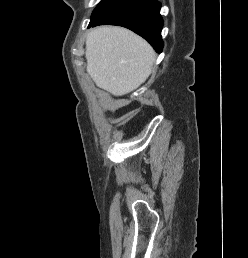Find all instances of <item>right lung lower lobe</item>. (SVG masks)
Masks as SVG:
<instances>
[{"instance_id":"1","label":"right lung lower lobe","mask_w":248,"mask_h":258,"mask_svg":"<svg viewBox=\"0 0 248 258\" xmlns=\"http://www.w3.org/2000/svg\"><path fill=\"white\" fill-rule=\"evenodd\" d=\"M161 4L156 0H119L88 27L97 25H119L126 27L146 39L157 53L163 49L161 30L163 19Z\"/></svg>"}]
</instances>
